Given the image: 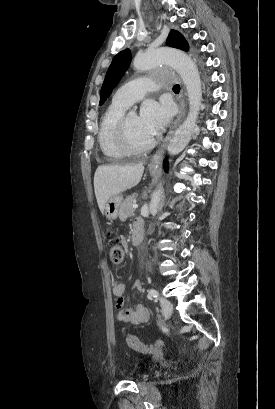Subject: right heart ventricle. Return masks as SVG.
Instances as JSON below:
<instances>
[{"instance_id": "obj_1", "label": "right heart ventricle", "mask_w": 275, "mask_h": 409, "mask_svg": "<svg viewBox=\"0 0 275 409\" xmlns=\"http://www.w3.org/2000/svg\"><path fill=\"white\" fill-rule=\"evenodd\" d=\"M126 109L112 103L105 111L98 130L97 140L104 157H124L118 138V125Z\"/></svg>"}]
</instances>
